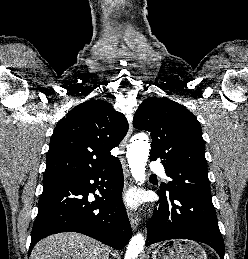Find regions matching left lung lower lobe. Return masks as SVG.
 Instances as JSON below:
<instances>
[{"label":"left lung lower lobe","mask_w":248,"mask_h":259,"mask_svg":"<svg viewBox=\"0 0 248 259\" xmlns=\"http://www.w3.org/2000/svg\"><path fill=\"white\" fill-rule=\"evenodd\" d=\"M148 225L146 245L169 239H190L208 244L224 259V243L211 199L165 194Z\"/></svg>","instance_id":"1"}]
</instances>
